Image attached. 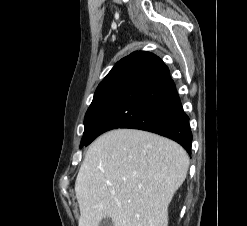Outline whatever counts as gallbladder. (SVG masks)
<instances>
[{"instance_id":"gallbladder-1","label":"gallbladder","mask_w":247,"mask_h":226,"mask_svg":"<svg viewBox=\"0 0 247 226\" xmlns=\"http://www.w3.org/2000/svg\"><path fill=\"white\" fill-rule=\"evenodd\" d=\"M99 226H113V222L111 218L106 217L100 222Z\"/></svg>"}]
</instances>
